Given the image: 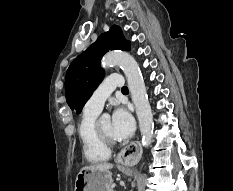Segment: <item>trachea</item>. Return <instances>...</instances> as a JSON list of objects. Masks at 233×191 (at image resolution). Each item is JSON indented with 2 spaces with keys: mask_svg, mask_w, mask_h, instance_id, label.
<instances>
[{
  "mask_svg": "<svg viewBox=\"0 0 233 191\" xmlns=\"http://www.w3.org/2000/svg\"><path fill=\"white\" fill-rule=\"evenodd\" d=\"M128 91V88L126 87V86H124L123 88H122V92H127Z\"/></svg>",
  "mask_w": 233,
  "mask_h": 191,
  "instance_id": "3493384b",
  "label": "trachea"
}]
</instances>
